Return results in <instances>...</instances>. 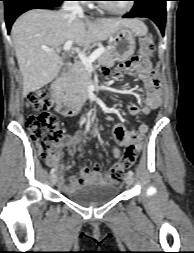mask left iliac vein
I'll return each instance as SVG.
<instances>
[{
	"label": "left iliac vein",
	"mask_w": 194,
	"mask_h": 253,
	"mask_svg": "<svg viewBox=\"0 0 194 253\" xmlns=\"http://www.w3.org/2000/svg\"><path fill=\"white\" fill-rule=\"evenodd\" d=\"M125 182L128 186H131L134 183V178L132 175H126Z\"/></svg>",
	"instance_id": "1"
}]
</instances>
